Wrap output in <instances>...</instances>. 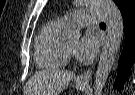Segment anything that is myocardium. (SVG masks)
<instances>
[{
	"label": "myocardium",
	"instance_id": "1",
	"mask_svg": "<svg viewBox=\"0 0 135 95\" xmlns=\"http://www.w3.org/2000/svg\"><path fill=\"white\" fill-rule=\"evenodd\" d=\"M65 53L68 58H72L74 56V52H72L67 45H65Z\"/></svg>",
	"mask_w": 135,
	"mask_h": 95
}]
</instances>
